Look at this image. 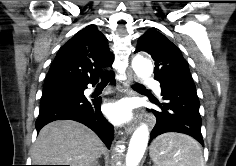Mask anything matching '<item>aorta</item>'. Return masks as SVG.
I'll return each mask as SVG.
<instances>
[{
    "label": "aorta",
    "mask_w": 236,
    "mask_h": 166,
    "mask_svg": "<svg viewBox=\"0 0 236 166\" xmlns=\"http://www.w3.org/2000/svg\"><path fill=\"white\" fill-rule=\"evenodd\" d=\"M132 68L136 75L146 79L153 72L152 62L140 55H137L132 61ZM149 140V130L147 125H141L133 133L128 152L126 155V166H138L140 163Z\"/></svg>",
    "instance_id": "obj_1"
}]
</instances>
